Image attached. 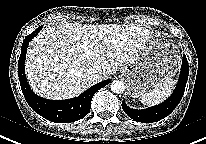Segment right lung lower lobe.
Listing matches in <instances>:
<instances>
[{
  "label": "right lung lower lobe",
  "mask_w": 206,
  "mask_h": 144,
  "mask_svg": "<svg viewBox=\"0 0 206 144\" xmlns=\"http://www.w3.org/2000/svg\"><path fill=\"white\" fill-rule=\"evenodd\" d=\"M42 26L25 37L21 55L18 61V75L21 89L29 106L43 118L55 123L74 122L84 118L91 109L93 95L101 88L110 83V79L93 85L80 96L68 100H47L37 96L30 88L25 76V58L29 42L39 33Z\"/></svg>",
  "instance_id": "98d812e1"
}]
</instances>
